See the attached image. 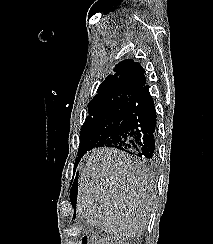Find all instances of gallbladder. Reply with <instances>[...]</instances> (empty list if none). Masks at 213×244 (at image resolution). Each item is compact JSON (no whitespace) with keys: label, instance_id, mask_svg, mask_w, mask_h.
Returning a JSON list of instances; mask_svg holds the SVG:
<instances>
[{"label":"gallbladder","instance_id":"1","mask_svg":"<svg viewBox=\"0 0 213 244\" xmlns=\"http://www.w3.org/2000/svg\"><path fill=\"white\" fill-rule=\"evenodd\" d=\"M78 225L80 226L82 232L87 233V234H91V233H93L94 228L91 227V226L87 223V221H86L85 219H83V218L79 219V220H78Z\"/></svg>","mask_w":213,"mask_h":244}]
</instances>
